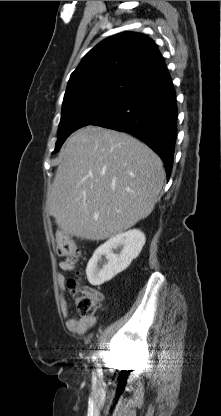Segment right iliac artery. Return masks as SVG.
I'll return each mask as SVG.
<instances>
[{"label":"right iliac artery","mask_w":221,"mask_h":416,"mask_svg":"<svg viewBox=\"0 0 221 416\" xmlns=\"http://www.w3.org/2000/svg\"><path fill=\"white\" fill-rule=\"evenodd\" d=\"M93 361L96 362L97 361V356H93Z\"/></svg>","instance_id":"obj_1"}]
</instances>
